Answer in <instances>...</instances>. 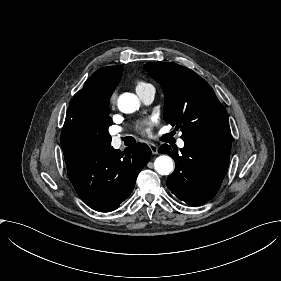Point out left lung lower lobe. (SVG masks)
Listing matches in <instances>:
<instances>
[{
	"instance_id": "obj_1",
	"label": "left lung lower lobe",
	"mask_w": 281,
	"mask_h": 281,
	"mask_svg": "<svg viewBox=\"0 0 281 281\" xmlns=\"http://www.w3.org/2000/svg\"><path fill=\"white\" fill-rule=\"evenodd\" d=\"M181 154L167 144L159 152L170 155L175 171L167 179V187L181 201L199 206L217 193L227 173L231 140L184 141Z\"/></svg>"
}]
</instances>
